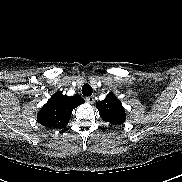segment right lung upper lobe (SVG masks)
I'll list each match as a JSON object with an SVG mask.
<instances>
[{
  "instance_id": "right-lung-upper-lobe-1",
  "label": "right lung upper lobe",
  "mask_w": 182,
  "mask_h": 182,
  "mask_svg": "<svg viewBox=\"0 0 182 182\" xmlns=\"http://www.w3.org/2000/svg\"><path fill=\"white\" fill-rule=\"evenodd\" d=\"M84 102L79 95L67 96L57 92L38 112L37 121L46 127L63 128L68 124L73 109Z\"/></svg>"
}]
</instances>
